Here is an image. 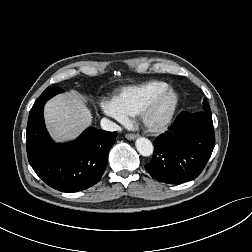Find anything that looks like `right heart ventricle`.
<instances>
[{
  "label": "right heart ventricle",
  "mask_w": 252,
  "mask_h": 252,
  "mask_svg": "<svg viewBox=\"0 0 252 252\" xmlns=\"http://www.w3.org/2000/svg\"><path fill=\"white\" fill-rule=\"evenodd\" d=\"M169 86L162 80H149L122 88L113 98L114 104L127 116H138L142 107L159 90Z\"/></svg>",
  "instance_id": "right-heart-ventricle-1"
}]
</instances>
